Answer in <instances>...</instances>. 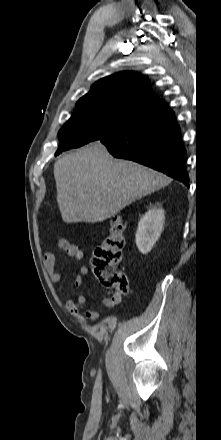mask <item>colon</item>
Returning a JSON list of instances; mask_svg holds the SVG:
<instances>
[{
    "label": "colon",
    "instance_id": "obj_1",
    "mask_svg": "<svg viewBox=\"0 0 221 440\" xmlns=\"http://www.w3.org/2000/svg\"><path fill=\"white\" fill-rule=\"evenodd\" d=\"M125 228L122 221L114 218L101 244L94 251L91 264L98 282L118 295L128 292V279L117 269L122 259Z\"/></svg>",
    "mask_w": 221,
    "mask_h": 440
}]
</instances>
